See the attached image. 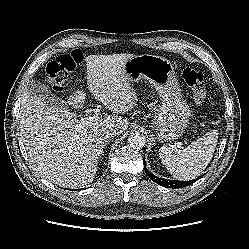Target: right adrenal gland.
<instances>
[{
  "mask_svg": "<svg viewBox=\"0 0 249 249\" xmlns=\"http://www.w3.org/2000/svg\"><path fill=\"white\" fill-rule=\"evenodd\" d=\"M107 142H108L107 140H105V141L103 142L102 146L100 147V153H103V152H104L103 149L105 148Z\"/></svg>",
  "mask_w": 249,
  "mask_h": 249,
  "instance_id": "2a0ac1e0",
  "label": "right adrenal gland"
}]
</instances>
